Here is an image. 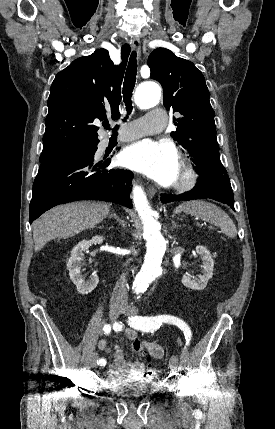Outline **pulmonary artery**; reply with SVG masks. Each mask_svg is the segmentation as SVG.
<instances>
[{
	"mask_svg": "<svg viewBox=\"0 0 275 429\" xmlns=\"http://www.w3.org/2000/svg\"><path fill=\"white\" fill-rule=\"evenodd\" d=\"M166 121V113L161 109H154L144 117L126 125L117 135L118 141H131L144 135L158 133Z\"/></svg>",
	"mask_w": 275,
	"mask_h": 429,
	"instance_id": "1",
	"label": "pulmonary artery"
}]
</instances>
